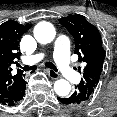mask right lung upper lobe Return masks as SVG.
<instances>
[{"label": "right lung upper lobe", "mask_w": 117, "mask_h": 117, "mask_svg": "<svg viewBox=\"0 0 117 117\" xmlns=\"http://www.w3.org/2000/svg\"><path fill=\"white\" fill-rule=\"evenodd\" d=\"M31 24L21 25L16 21H7L0 25V100L8 95L14 84L24 77L20 70L12 75L10 65L21 54L19 41Z\"/></svg>", "instance_id": "right-lung-upper-lobe-1"}]
</instances>
